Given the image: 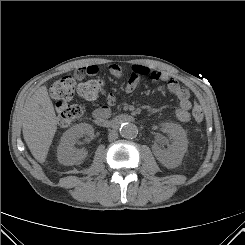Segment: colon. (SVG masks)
<instances>
[{"label": "colon", "instance_id": "1", "mask_svg": "<svg viewBox=\"0 0 245 245\" xmlns=\"http://www.w3.org/2000/svg\"><path fill=\"white\" fill-rule=\"evenodd\" d=\"M103 91L104 81L98 78L86 80L78 85L75 79L69 75L57 80L51 87V95L57 100L56 113L60 125L68 126L82 115V108L79 105L68 102L75 92L87 100H93ZM192 113L196 121L203 120V111L198 104L194 105Z\"/></svg>", "mask_w": 245, "mask_h": 245}]
</instances>
